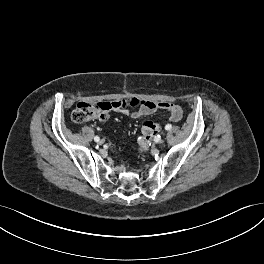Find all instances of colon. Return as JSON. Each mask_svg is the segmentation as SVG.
<instances>
[{
    "instance_id": "1",
    "label": "colon",
    "mask_w": 264,
    "mask_h": 264,
    "mask_svg": "<svg viewBox=\"0 0 264 264\" xmlns=\"http://www.w3.org/2000/svg\"><path fill=\"white\" fill-rule=\"evenodd\" d=\"M131 104L130 99L112 102H80L72 112L71 119L75 123H84L90 120H104L113 109H119ZM160 131V125L153 121H146L142 125V134L138 140L140 151H146L152 139Z\"/></svg>"
}]
</instances>
